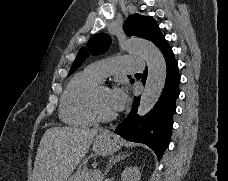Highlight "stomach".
Segmentation results:
<instances>
[{"mask_svg":"<svg viewBox=\"0 0 228 181\" xmlns=\"http://www.w3.org/2000/svg\"><path fill=\"white\" fill-rule=\"evenodd\" d=\"M120 147L119 137H116L113 133H108V131H100L93 141L94 153L102 155V157L119 151Z\"/></svg>","mask_w":228,"mask_h":181,"instance_id":"1","label":"stomach"}]
</instances>
